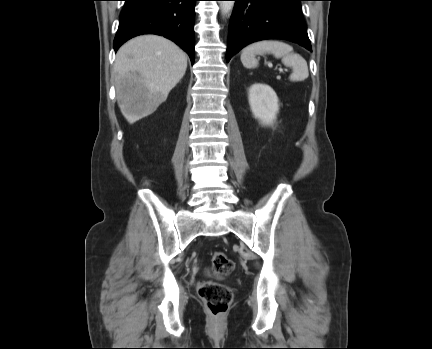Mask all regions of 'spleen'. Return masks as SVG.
I'll list each match as a JSON object with an SVG mask.
<instances>
[{
	"mask_svg": "<svg viewBox=\"0 0 432 349\" xmlns=\"http://www.w3.org/2000/svg\"><path fill=\"white\" fill-rule=\"evenodd\" d=\"M273 54L281 58L285 66L293 69L290 81H303L309 76L306 60L299 54L293 52V48L282 41L263 40L248 45L241 54V62L244 67L253 69L258 66L256 55Z\"/></svg>",
	"mask_w": 432,
	"mask_h": 349,
	"instance_id": "spleen-1",
	"label": "spleen"
}]
</instances>
